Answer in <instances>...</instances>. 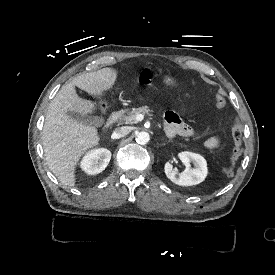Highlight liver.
I'll use <instances>...</instances> for the list:
<instances>
[{"mask_svg":"<svg viewBox=\"0 0 275 275\" xmlns=\"http://www.w3.org/2000/svg\"><path fill=\"white\" fill-rule=\"evenodd\" d=\"M117 78L118 72L112 68L81 74L64 85L49 104L42 144L48 167L65 186H76L77 166L101 140L95 126L69 116V113H77L87 117L98 112L96 103L81 99L75 87L93 99H101L113 89Z\"/></svg>","mask_w":275,"mask_h":275,"instance_id":"obj_1","label":"liver"}]
</instances>
